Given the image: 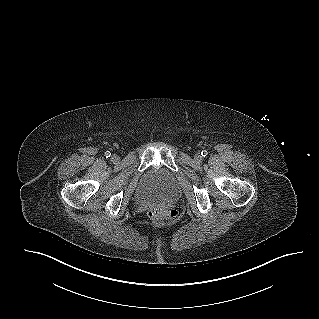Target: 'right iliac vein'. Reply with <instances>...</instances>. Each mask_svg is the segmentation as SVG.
<instances>
[{
    "label": "right iliac vein",
    "instance_id": "right-iliac-vein-1",
    "mask_svg": "<svg viewBox=\"0 0 319 319\" xmlns=\"http://www.w3.org/2000/svg\"><path fill=\"white\" fill-rule=\"evenodd\" d=\"M119 159H120L119 156L116 155V154H113V155L111 156V161L114 162V163L118 162Z\"/></svg>",
    "mask_w": 319,
    "mask_h": 319
}]
</instances>
